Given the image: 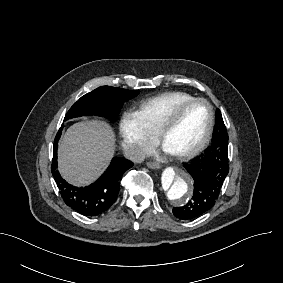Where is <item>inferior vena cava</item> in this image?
I'll list each match as a JSON object with an SVG mask.
<instances>
[{
  "mask_svg": "<svg viewBox=\"0 0 283 283\" xmlns=\"http://www.w3.org/2000/svg\"><path fill=\"white\" fill-rule=\"evenodd\" d=\"M147 154L139 146H131L124 150V157L135 164L143 163Z\"/></svg>",
  "mask_w": 283,
  "mask_h": 283,
  "instance_id": "1",
  "label": "inferior vena cava"
}]
</instances>
